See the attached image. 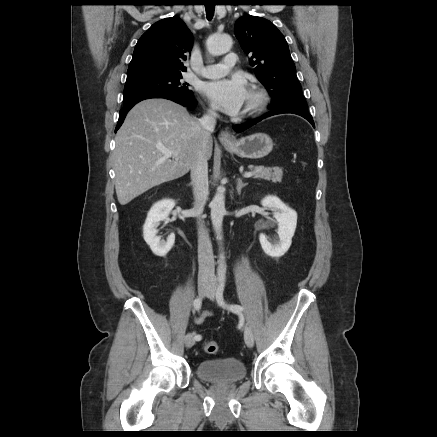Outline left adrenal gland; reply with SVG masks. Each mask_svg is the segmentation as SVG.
<instances>
[{
    "mask_svg": "<svg viewBox=\"0 0 437 437\" xmlns=\"http://www.w3.org/2000/svg\"><path fill=\"white\" fill-rule=\"evenodd\" d=\"M248 183H243L241 178H237V193L240 195L241 194V190L243 187H245Z\"/></svg>",
    "mask_w": 437,
    "mask_h": 437,
    "instance_id": "a2214340",
    "label": "left adrenal gland"
}]
</instances>
